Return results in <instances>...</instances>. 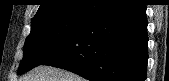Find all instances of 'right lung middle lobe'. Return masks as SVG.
Listing matches in <instances>:
<instances>
[{
    "label": "right lung middle lobe",
    "mask_w": 169,
    "mask_h": 81,
    "mask_svg": "<svg viewBox=\"0 0 169 81\" xmlns=\"http://www.w3.org/2000/svg\"><path fill=\"white\" fill-rule=\"evenodd\" d=\"M88 20V18L61 15L41 18L31 23V32L24 44V57L18 74L40 65L60 49Z\"/></svg>",
    "instance_id": "right-lung-middle-lobe-1"
}]
</instances>
